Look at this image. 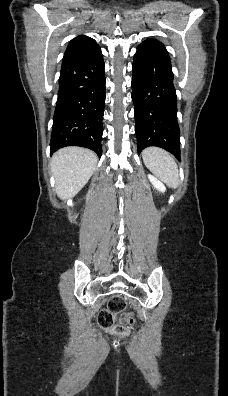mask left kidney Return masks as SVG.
I'll return each instance as SVG.
<instances>
[{"instance_id":"obj_1","label":"left kidney","mask_w":228,"mask_h":396,"mask_svg":"<svg viewBox=\"0 0 228 396\" xmlns=\"http://www.w3.org/2000/svg\"><path fill=\"white\" fill-rule=\"evenodd\" d=\"M148 178L155 189H157L158 191H160L162 193H164L166 191L164 184L161 181H159L156 177L149 174Z\"/></svg>"}]
</instances>
